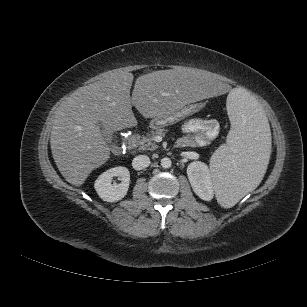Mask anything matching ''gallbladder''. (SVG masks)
Segmentation results:
<instances>
[{
    "label": "gallbladder",
    "mask_w": 307,
    "mask_h": 307,
    "mask_svg": "<svg viewBox=\"0 0 307 307\" xmlns=\"http://www.w3.org/2000/svg\"><path fill=\"white\" fill-rule=\"evenodd\" d=\"M97 125L100 128L105 141L111 142L113 139V133L106 128L103 122L99 121Z\"/></svg>",
    "instance_id": "bac80fb5"
}]
</instances>
